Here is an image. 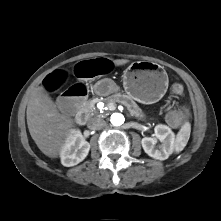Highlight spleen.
Wrapping results in <instances>:
<instances>
[{
    "label": "spleen",
    "mask_w": 221,
    "mask_h": 221,
    "mask_svg": "<svg viewBox=\"0 0 221 221\" xmlns=\"http://www.w3.org/2000/svg\"><path fill=\"white\" fill-rule=\"evenodd\" d=\"M191 133V125L190 123H185L180 131L178 132L175 140V151L177 153L181 152L188 143Z\"/></svg>",
    "instance_id": "obj_1"
}]
</instances>
